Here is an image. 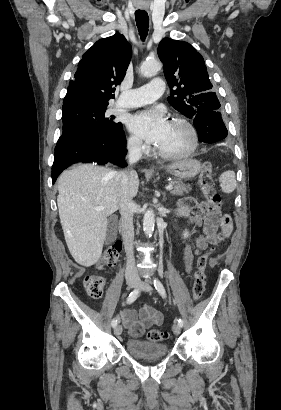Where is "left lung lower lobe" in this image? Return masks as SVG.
Masks as SVG:
<instances>
[{
  "label": "left lung lower lobe",
  "instance_id": "0a47b994",
  "mask_svg": "<svg viewBox=\"0 0 281 410\" xmlns=\"http://www.w3.org/2000/svg\"><path fill=\"white\" fill-rule=\"evenodd\" d=\"M193 124L198 132L200 142L214 143L224 139L228 134L221 113L218 111L197 114Z\"/></svg>",
  "mask_w": 281,
  "mask_h": 410
}]
</instances>
